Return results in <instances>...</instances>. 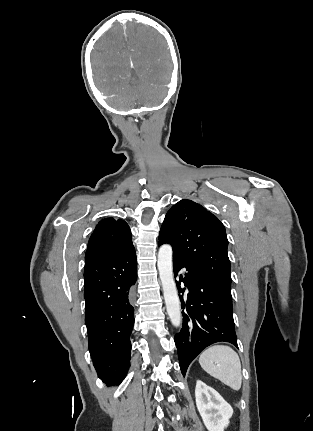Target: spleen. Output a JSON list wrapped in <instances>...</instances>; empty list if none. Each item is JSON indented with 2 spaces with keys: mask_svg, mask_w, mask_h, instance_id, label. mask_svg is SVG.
Listing matches in <instances>:
<instances>
[{
  "mask_svg": "<svg viewBox=\"0 0 313 431\" xmlns=\"http://www.w3.org/2000/svg\"><path fill=\"white\" fill-rule=\"evenodd\" d=\"M199 363L210 376L217 378L233 390L242 385L241 363L238 354L229 346L214 345L204 350Z\"/></svg>",
  "mask_w": 313,
  "mask_h": 431,
  "instance_id": "3e777b00",
  "label": "spleen"
}]
</instances>
